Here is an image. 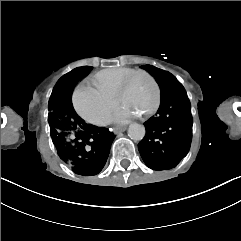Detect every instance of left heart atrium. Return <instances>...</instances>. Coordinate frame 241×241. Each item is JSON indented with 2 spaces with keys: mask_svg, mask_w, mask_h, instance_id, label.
Returning <instances> with one entry per match:
<instances>
[{
  "mask_svg": "<svg viewBox=\"0 0 241 241\" xmlns=\"http://www.w3.org/2000/svg\"><path fill=\"white\" fill-rule=\"evenodd\" d=\"M132 117V114L127 112V111H123V112H119L117 114L114 115L113 120L117 123H123L128 121L130 118Z\"/></svg>",
  "mask_w": 241,
  "mask_h": 241,
  "instance_id": "obj_1",
  "label": "left heart atrium"
}]
</instances>
